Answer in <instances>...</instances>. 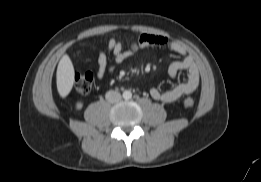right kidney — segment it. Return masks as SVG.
I'll list each match as a JSON object with an SVG mask.
<instances>
[{
	"mask_svg": "<svg viewBox=\"0 0 261 182\" xmlns=\"http://www.w3.org/2000/svg\"><path fill=\"white\" fill-rule=\"evenodd\" d=\"M83 107V103L82 102H77L76 103V109L80 110Z\"/></svg>",
	"mask_w": 261,
	"mask_h": 182,
	"instance_id": "1",
	"label": "right kidney"
}]
</instances>
